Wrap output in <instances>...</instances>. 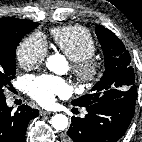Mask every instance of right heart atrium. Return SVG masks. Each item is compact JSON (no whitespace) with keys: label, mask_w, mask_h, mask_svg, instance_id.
<instances>
[{"label":"right heart atrium","mask_w":142,"mask_h":142,"mask_svg":"<svg viewBox=\"0 0 142 142\" xmlns=\"http://www.w3.org/2000/svg\"><path fill=\"white\" fill-rule=\"evenodd\" d=\"M47 54V43L44 36L35 32L25 37L17 47V60L24 69L39 67Z\"/></svg>","instance_id":"d8ad5b80"}]
</instances>
